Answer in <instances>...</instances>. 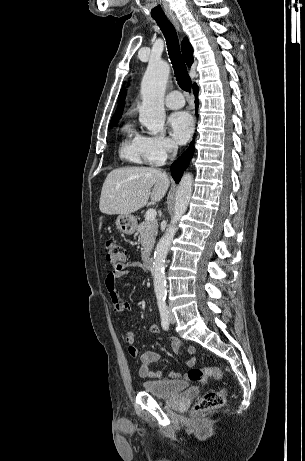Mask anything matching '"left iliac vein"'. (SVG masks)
<instances>
[{
	"label": "left iliac vein",
	"instance_id": "left-iliac-vein-1",
	"mask_svg": "<svg viewBox=\"0 0 305 461\" xmlns=\"http://www.w3.org/2000/svg\"><path fill=\"white\" fill-rule=\"evenodd\" d=\"M169 320L170 322L173 324L175 323V316L174 314L171 312V310L169 309Z\"/></svg>",
	"mask_w": 305,
	"mask_h": 461
}]
</instances>
